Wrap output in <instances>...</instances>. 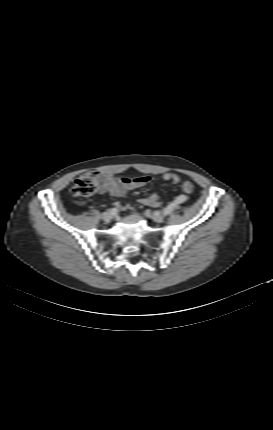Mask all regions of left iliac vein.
<instances>
[{
  "label": "left iliac vein",
  "mask_w": 273,
  "mask_h": 430,
  "mask_svg": "<svg viewBox=\"0 0 273 430\" xmlns=\"http://www.w3.org/2000/svg\"><path fill=\"white\" fill-rule=\"evenodd\" d=\"M151 218L155 221V222H162L164 220V216L161 215L158 212H155L151 215Z\"/></svg>",
  "instance_id": "left-iliac-vein-1"
}]
</instances>
